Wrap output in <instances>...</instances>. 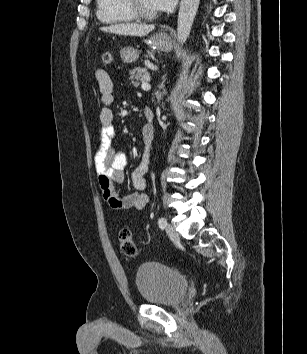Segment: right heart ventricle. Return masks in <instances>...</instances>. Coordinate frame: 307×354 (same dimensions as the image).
Returning <instances> with one entry per match:
<instances>
[{"label":"right heart ventricle","instance_id":"e07e8e85","mask_svg":"<svg viewBox=\"0 0 307 354\" xmlns=\"http://www.w3.org/2000/svg\"><path fill=\"white\" fill-rule=\"evenodd\" d=\"M97 18L102 23L131 22L136 19L126 0H96Z\"/></svg>","mask_w":307,"mask_h":354}]
</instances>
